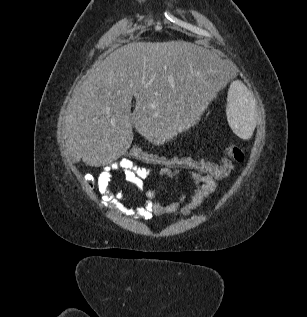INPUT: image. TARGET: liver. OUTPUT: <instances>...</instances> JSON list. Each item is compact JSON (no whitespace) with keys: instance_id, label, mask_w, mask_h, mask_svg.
<instances>
[{"instance_id":"liver-1","label":"liver","mask_w":307,"mask_h":317,"mask_svg":"<svg viewBox=\"0 0 307 317\" xmlns=\"http://www.w3.org/2000/svg\"><path fill=\"white\" fill-rule=\"evenodd\" d=\"M229 73L223 55L185 41L117 49L87 72L69 101L64 138L70 157L89 166L111 163L129 148L133 126L150 142L171 139L199 119L202 105L219 99V89L230 88Z\"/></svg>"}]
</instances>
